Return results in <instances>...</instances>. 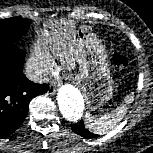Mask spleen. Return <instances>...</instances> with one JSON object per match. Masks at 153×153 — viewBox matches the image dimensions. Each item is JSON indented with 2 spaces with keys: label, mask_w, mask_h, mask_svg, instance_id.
<instances>
[{
  "label": "spleen",
  "mask_w": 153,
  "mask_h": 153,
  "mask_svg": "<svg viewBox=\"0 0 153 153\" xmlns=\"http://www.w3.org/2000/svg\"><path fill=\"white\" fill-rule=\"evenodd\" d=\"M133 100V94H129L124 98L125 103L118 105L115 110L99 117H94L90 113H86L84 120L85 126L93 132L103 134L121 121L127 113V105L131 104Z\"/></svg>",
  "instance_id": "3e777b00"
}]
</instances>
